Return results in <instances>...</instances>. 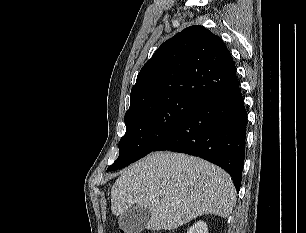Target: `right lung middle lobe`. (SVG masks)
<instances>
[{"instance_id":"obj_1","label":"right lung middle lobe","mask_w":306,"mask_h":233,"mask_svg":"<svg viewBox=\"0 0 306 233\" xmlns=\"http://www.w3.org/2000/svg\"><path fill=\"white\" fill-rule=\"evenodd\" d=\"M200 104L186 98L155 101L125 114L126 133L118 159L107 169L117 170L144 157L163 142Z\"/></svg>"}]
</instances>
